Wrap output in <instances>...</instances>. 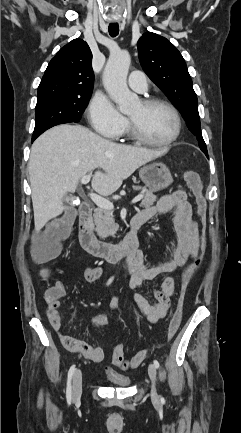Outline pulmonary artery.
I'll return each mask as SVG.
<instances>
[{
    "instance_id": "obj_1",
    "label": "pulmonary artery",
    "mask_w": 241,
    "mask_h": 433,
    "mask_svg": "<svg viewBox=\"0 0 241 433\" xmlns=\"http://www.w3.org/2000/svg\"><path fill=\"white\" fill-rule=\"evenodd\" d=\"M130 88L136 92L144 93L147 91V78L140 71H133L128 79Z\"/></svg>"
}]
</instances>
